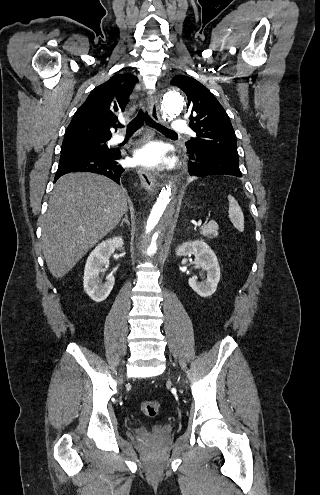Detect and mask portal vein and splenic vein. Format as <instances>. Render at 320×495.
I'll use <instances>...</instances> for the list:
<instances>
[{"label":"portal vein and splenic vein","instance_id":"obj_1","mask_svg":"<svg viewBox=\"0 0 320 495\" xmlns=\"http://www.w3.org/2000/svg\"><path fill=\"white\" fill-rule=\"evenodd\" d=\"M198 227H199V228H201V227H202L201 223H199V224H198Z\"/></svg>","mask_w":320,"mask_h":495}]
</instances>
